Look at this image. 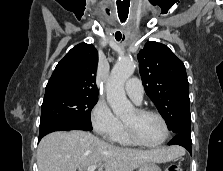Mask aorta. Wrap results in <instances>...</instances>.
I'll use <instances>...</instances> for the list:
<instances>
[{
    "mask_svg": "<svg viewBox=\"0 0 223 171\" xmlns=\"http://www.w3.org/2000/svg\"><path fill=\"white\" fill-rule=\"evenodd\" d=\"M136 68L132 59H121L113 67L107 82V101L114 114L122 117L133 110L132 103L127 99L124 84L132 76Z\"/></svg>",
    "mask_w": 223,
    "mask_h": 171,
    "instance_id": "aorta-1",
    "label": "aorta"
}]
</instances>
